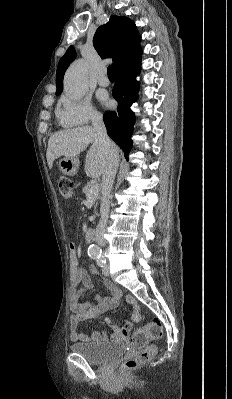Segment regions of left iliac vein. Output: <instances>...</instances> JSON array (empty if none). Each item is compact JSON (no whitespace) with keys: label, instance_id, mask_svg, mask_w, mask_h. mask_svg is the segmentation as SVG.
<instances>
[{"label":"left iliac vein","instance_id":"obj_1","mask_svg":"<svg viewBox=\"0 0 232 399\" xmlns=\"http://www.w3.org/2000/svg\"><path fill=\"white\" fill-rule=\"evenodd\" d=\"M102 272H103V276H104V277H109V276H110V273H109V266H108V265H105L104 268L102 269Z\"/></svg>","mask_w":232,"mask_h":399}]
</instances>
